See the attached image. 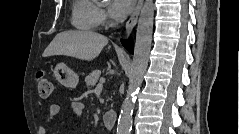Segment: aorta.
<instances>
[{"instance_id": "762f6f07", "label": "aorta", "mask_w": 239, "mask_h": 134, "mask_svg": "<svg viewBox=\"0 0 239 134\" xmlns=\"http://www.w3.org/2000/svg\"><path fill=\"white\" fill-rule=\"evenodd\" d=\"M154 10L153 0H145L138 20L129 86L127 95L122 103L121 113L118 119L117 134H130L132 128V113L135 106L136 91L142 84L143 76L148 66L153 33Z\"/></svg>"}]
</instances>
